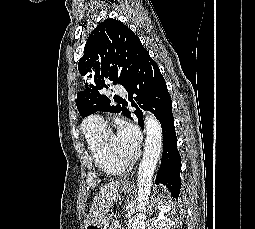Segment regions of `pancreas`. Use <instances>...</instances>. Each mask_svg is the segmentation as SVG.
<instances>
[{
	"mask_svg": "<svg viewBox=\"0 0 255 229\" xmlns=\"http://www.w3.org/2000/svg\"><path fill=\"white\" fill-rule=\"evenodd\" d=\"M116 224H118V221H116V220L112 221L109 229H116Z\"/></svg>",
	"mask_w": 255,
	"mask_h": 229,
	"instance_id": "1",
	"label": "pancreas"
}]
</instances>
